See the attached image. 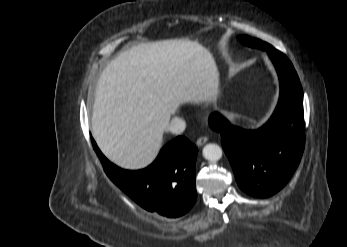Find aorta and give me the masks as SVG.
<instances>
[{"label":"aorta","mask_w":347,"mask_h":247,"mask_svg":"<svg viewBox=\"0 0 347 247\" xmlns=\"http://www.w3.org/2000/svg\"><path fill=\"white\" fill-rule=\"evenodd\" d=\"M203 157L211 162H216L221 159L222 157V149L219 145L215 143H209L204 146L203 150Z\"/></svg>","instance_id":"obj_1"}]
</instances>
